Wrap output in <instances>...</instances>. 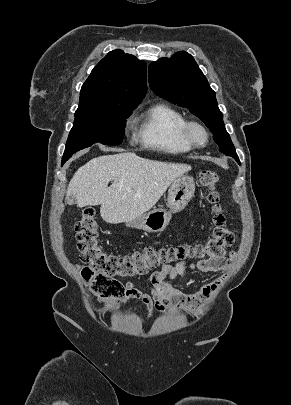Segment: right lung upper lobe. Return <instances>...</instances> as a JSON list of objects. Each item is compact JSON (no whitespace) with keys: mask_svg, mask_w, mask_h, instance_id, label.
Wrapping results in <instances>:
<instances>
[{"mask_svg":"<svg viewBox=\"0 0 291 405\" xmlns=\"http://www.w3.org/2000/svg\"><path fill=\"white\" fill-rule=\"evenodd\" d=\"M146 63L122 50L109 52L92 70L80 91L79 107H137L147 92Z\"/></svg>","mask_w":291,"mask_h":405,"instance_id":"obj_1","label":"right lung upper lobe"}]
</instances>
